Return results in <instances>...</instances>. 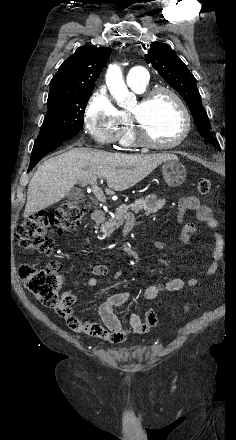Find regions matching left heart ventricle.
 <instances>
[{
  "label": "left heart ventricle",
  "mask_w": 236,
  "mask_h": 440,
  "mask_svg": "<svg viewBox=\"0 0 236 440\" xmlns=\"http://www.w3.org/2000/svg\"><path fill=\"white\" fill-rule=\"evenodd\" d=\"M136 104L132 111L137 109ZM146 132L156 143H170L175 141L183 132L184 119L174 101L167 94L156 97L142 112Z\"/></svg>",
  "instance_id": "obj_1"
}]
</instances>
